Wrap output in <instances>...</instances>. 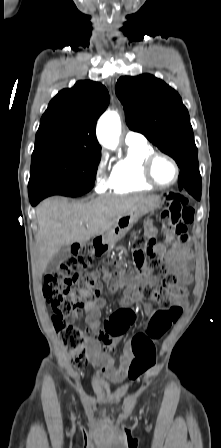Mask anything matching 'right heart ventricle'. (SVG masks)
Segmentation results:
<instances>
[{"instance_id": "1", "label": "right heart ventricle", "mask_w": 221, "mask_h": 448, "mask_svg": "<svg viewBox=\"0 0 221 448\" xmlns=\"http://www.w3.org/2000/svg\"><path fill=\"white\" fill-rule=\"evenodd\" d=\"M127 145L125 156L118 160L112 169L110 190L114 193H130L154 188L143 177V162L154 152L153 148L147 142Z\"/></svg>"}]
</instances>
